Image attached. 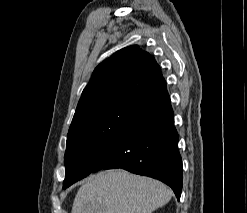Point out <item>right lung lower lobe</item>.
Wrapping results in <instances>:
<instances>
[{
  "instance_id": "obj_1",
  "label": "right lung lower lobe",
  "mask_w": 247,
  "mask_h": 213,
  "mask_svg": "<svg viewBox=\"0 0 247 213\" xmlns=\"http://www.w3.org/2000/svg\"><path fill=\"white\" fill-rule=\"evenodd\" d=\"M178 133L166 86L131 101L130 113L115 139L98 156L93 171L123 168L169 185L176 197L182 190Z\"/></svg>"
}]
</instances>
